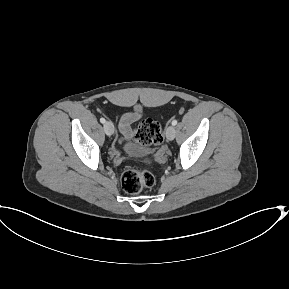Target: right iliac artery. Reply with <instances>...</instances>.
<instances>
[{
    "instance_id": "obj_1",
    "label": "right iliac artery",
    "mask_w": 289,
    "mask_h": 289,
    "mask_svg": "<svg viewBox=\"0 0 289 289\" xmlns=\"http://www.w3.org/2000/svg\"><path fill=\"white\" fill-rule=\"evenodd\" d=\"M100 122L104 124L106 120L104 118H100Z\"/></svg>"
}]
</instances>
